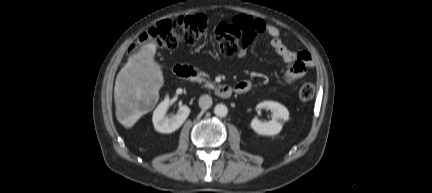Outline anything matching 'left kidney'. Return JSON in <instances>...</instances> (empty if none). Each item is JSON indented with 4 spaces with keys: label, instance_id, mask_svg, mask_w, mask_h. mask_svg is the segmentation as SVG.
Returning <instances> with one entry per match:
<instances>
[{
    "label": "left kidney",
    "instance_id": "left-kidney-1",
    "mask_svg": "<svg viewBox=\"0 0 432 193\" xmlns=\"http://www.w3.org/2000/svg\"><path fill=\"white\" fill-rule=\"evenodd\" d=\"M257 109H269L272 112V120L260 121L254 118L251 121V128L260 135L272 136L280 133L283 124L289 119V111L282 104L274 101H263Z\"/></svg>",
    "mask_w": 432,
    "mask_h": 193
}]
</instances>
